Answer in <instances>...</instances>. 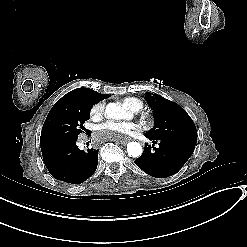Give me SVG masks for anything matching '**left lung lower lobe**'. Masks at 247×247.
I'll return each mask as SVG.
<instances>
[{"label": "left lung lower lobe", "instance_id": "obj_1", "mask_svg": "<svg viewBox=\"0 0 247 247\" xmlns=\"http://www.w3.org/2000/svg\"><path fill=\"white\" fill-rule=\"evenodd\" d=\"M149 139L152 140V146L146 143L143 154L135 160V164L145 173L156 178H165L177 173L195 148V145L185 142ZM157 143L159 147L156 148L154 144Z\"/></svg>", "mask_w": 247, "mask_h": 247}]
</instances>
